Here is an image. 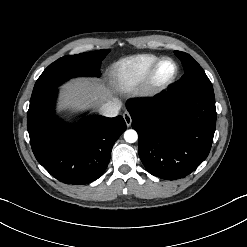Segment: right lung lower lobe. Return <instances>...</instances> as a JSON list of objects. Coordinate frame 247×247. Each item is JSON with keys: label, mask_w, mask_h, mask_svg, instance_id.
I'll list each match as a JSON object with an SVG mask.
<instances>
[{"label": "right lung lower lobe", "mask_w": 247, "mask_h": 247, "mask_svg": "<svg viewBox=\"0 0 247 247\" xmlns=\"http://www.w3.org/2000/svg\"><path fill=\"white\" fill-rule=\"evenodd\" d=\"M56 90L29 106L27 129L37 161L57 180L66 184H89L105 171L115 141L126 130L122 116H90L67 125L55 115Z\"/></svg>", "instance_id": "98d812e1"}]
</instances>
